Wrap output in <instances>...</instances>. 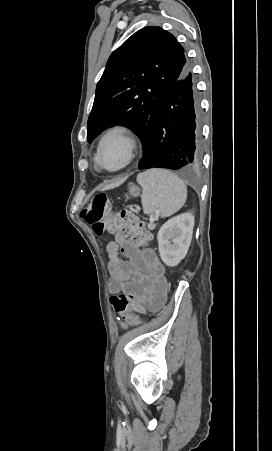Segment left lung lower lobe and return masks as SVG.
Segmentation results:
<instances>
[{
	"label": "left lung lower lobe",
	"mask_w": 272,
	"mask_h": 451,
	"mask_svg": "<svg viewBox=\"0 0 272 451\" xmlns=\"http://www.w3.org/2000/svg\"><path fill=\"white\" fill-rule=\"evenodd\" d=\"M199 111L195 83L186 64L168 92L139 169L167 168L191 171L201 162Z\"/></svg>",
	"instance_id": "obj_1"
}]
</instances>
